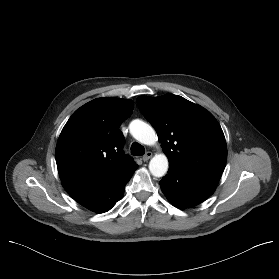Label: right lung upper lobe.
Wrapping results in <instances>:
<instances>
[{
	"label": "right lung upper lobe",
	"instance_id": "1",
	"mask_svg": "<svg viewBox=\"0 0 279 279\" xmlns=\"http://www.w3.org/2000/svg\"><path fill=\"white\" fill-rule=\"evenodd\" d=\"M133 107L130 99L98 98L69 118L55 154L63 187L74 200L99 193L136 170L118 129Z\"/></svg>",
	"mask_w": 279,
	"mask_h": 279
}]
</instances>
